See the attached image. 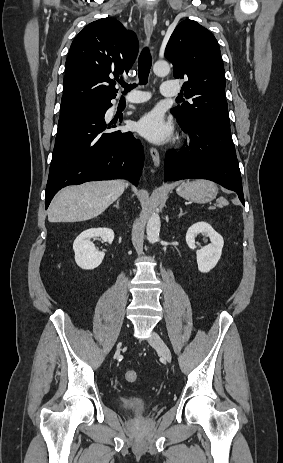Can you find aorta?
Listing matches in <instances>:
<instances>
[{"mask_svg":"<svg viewBox=\"0 0 283 463\" xmlns=\"http://www.w3.org/2000/svg\"><path fill=\"white\" fill-rule=\"evenodd\" d=\"M153 72L157 76H165L170 72L169 64L165 61H157L153 66ZM160 217L157 213H153L147 222V239L149 243L154 244L159 240L160 233Z\"/></svg>","mask_w":283,"mask_h":463,"instance_id":"1","label":"aorta"}]
</instances>
